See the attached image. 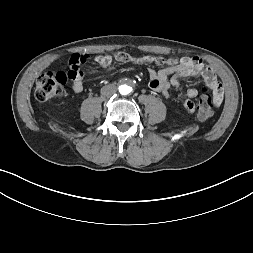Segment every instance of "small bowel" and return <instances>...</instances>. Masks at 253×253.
<instances>
[{
    "instance_id": "small-bowel-1",
    "label": "small bowel",
    "mask_w": 253,
    "mask_h": 253,
    "mask_svg": "<svg viewBox=\"0 0 253 253\" xmlns=\"http://www.w3.org/2000/svg\"><path fill=\"white\" fill-rule=\"evenodd\" d=\"M69 60L73 64H76L79 61L86 63L88 61V56L85 54L73 53L70 55ZM95 61L104 70L111 69L115 62H131L139 65L155 64L161 67V69L158 71L152 68L148 69L149 87L152 91L165 97L169 96V91L171 88H179L180 79L199 75L203 78L206 86L212 92L213 103L216 106H220L223 102L222 84L214 76L211 69L199 58L166 60L163 57H156L151 55L132 57L125 52H116L112 55H100L96 57ZM80 75L81 82H83L82 74ZM73 91L76 92L75 90ZM186 95L188 98H184L181 101V108L187 114H194L197 111V101L194 98L198 96V91L195 88H189Z\"/></svg>"
}]
</instances>
